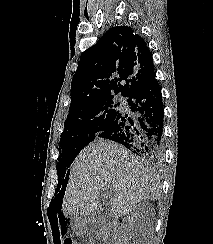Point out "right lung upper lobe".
Listing matches in <instances>:
<instances>
[{
  "label": "right lung upper lobe",
  "instance_id": "obj_1",
  "mask_svg": "<svg viewBox=\"0 0 213 244\" xmlns=\"http://www.w3.org/2000/svg\"><path fill=\"white\" fill-rule=\"evenodd\" d=\"M152 71V55L144 40L129 26L113 27L81 55L70 108L119 92L129 97Z\"/></svg>",
  "mask_w": 213,
  "mask_h": 244
}]
</instances>
